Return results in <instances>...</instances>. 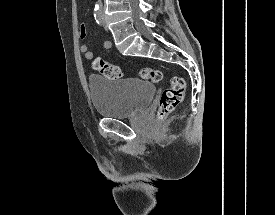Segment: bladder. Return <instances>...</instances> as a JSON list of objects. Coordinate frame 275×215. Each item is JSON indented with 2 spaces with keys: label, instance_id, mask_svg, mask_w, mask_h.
Listing matches in <instances>:
<instances>
[{
  "label": "bladder",
  "instance_id": "31cf9c89",
  "mask_svg": "<svg viewBox=\"0 0 275 215\" xmlns=\"http://www.w3.org/2000/svg\"><path fill=\"white\" fill-rule=\"evenodd\" d=\"M88 83L95 111L113 119L129 118L147 108L156 91L152 83L139 78L110 81L91 75Z\"/></svg>",
  "mask_w": 275,
  "mask_h": 215
}]
</instances>
